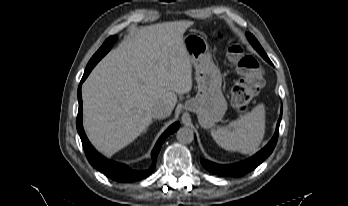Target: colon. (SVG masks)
Returning a JSON list of instances; mask_svg holds the SVG:
<instances>
[{"label":"colon","instance_id":"obj_1","mask_svg":"<svg viewBox=\"0 0 348 206\" xmlns=\"http://www.w3.org/2000/svg\"><path fill=\"white\" fill-rule=\"evenodd\" d=\"M216 37L224 39L225 34L219 31ZM228 55L237 65L241 76L232 90V104L238 111L245 112L256 92L263 86L264 68L256 58L245 54L243 46L237 40H230Z\"/></svg>","mask_w":348,"mask_h":206}]
</instances>
